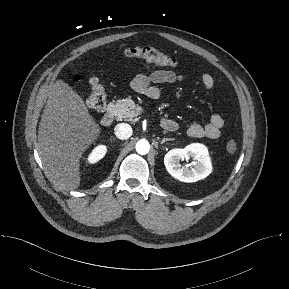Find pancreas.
<instances>
[{"mask_svg":"<svg viewBox=\"0 0 289 289\" xmlns=\"http://www.w3.org/2000/svg\"><path fill=\"white\" fill-rule=\"evenodd\" d=\"M136 105L130 98L118 100L112 109V113L119 121H136L138 114L135 111Z\"/></svg>","mask_w":289,"mask_h":289,"instance_id":"pancreas-1","label":"pancreas"}]
</instances>
